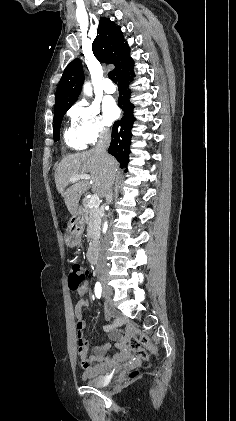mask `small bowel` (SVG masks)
<instances>
[{"instance_id":"1","label":"small bowel","mask_w":236,"mask_h":421,"mask_svg":"<svg viewBox=\"0 0 236 421\" xmlns=\"http://www.w3.org/2000/svg\"><path fill=\"white\" fill-rule=\"evenodd\" d=\"M88 292V286L85 285L79 292L78 294L80 295L81 299L78 301V303L75 306V313H76V317L78 319V327L79 329H82L84 322L82 320V308L83 307H87L90 305L89 300L85 297L86 294ZM80 332H78L79 337H80ZM82 340V339H81ZM83 344L84 341L82 340ZM84 348V345H83ZM80 354V364L81 367L83 369L86 370L85 375H88L89 373H94L93 372V368H90V364H91V359H88L85 355V348L82 352L79 353Z\"/></svg>"}]
</instances>
